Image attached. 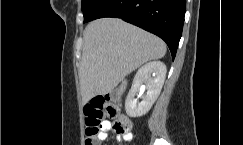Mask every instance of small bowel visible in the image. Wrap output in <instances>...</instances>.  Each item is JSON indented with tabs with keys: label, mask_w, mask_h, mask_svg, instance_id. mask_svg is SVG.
<instances>
[{
	"label": "small bowel",
	"mask_w": 243,
	"mask_h": 145,
	"mask_svg": "<svg viewBox=\"0 0 243 145\" xmlns=\"http://www.w3.org/2000/svg\"><path fill=\"white\" fill-rule=\"evenodd\" d=\"M120 117H124L126 118L125 116L123 115H120ZM127 119V118H126ZM128 120V119H127ZM129 121V120H128ZM130 123V121H129ZM113 127V123L109 120H105L102 122V126H101V130L97 136V139L100 140V141H103L107 138L108 136V132L111 130V128ZM130 128H131V123H130ZM133 138V135L129 130H127L126 132L124 133H118L117 134V140H124V141H131Z\"/></svg>",
	"instance_id": "1"
}]
</instances>
